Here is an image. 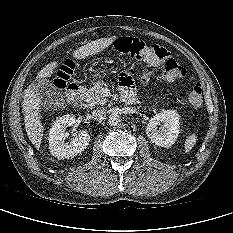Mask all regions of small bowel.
I'll list each match as a JSON object with an SVG mask.
<instances>
[{
	"instance_id": "1",
	"label": "small bowel",
	"mask_w": 233,
	"mask_h": 233,
	"mask_svg": "<svg viewBox=\"0 0 233 233\" xmlns=\"http://www.w3.org/2000/svg\"><path fill=\"white\" fill-rule=\"evenodd\" d=\"M153 73V68L148 63H143L135 72V77L137 79V84L140 86L141 90L148 91L151 88V83L148 81ZM119 81L121 85V91L125 98L132 97L133 95V81L134 76L129 71H124L119 76Z\"/></svg>"
}]
</instances>
